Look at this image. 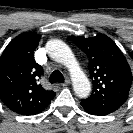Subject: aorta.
<instances>
[{
  "label": "aorta",
  "instance_id": "obj_1",
  "mask_svg": "<svg viewBox=\"0 0 133 133\" xmlns=\"http://www.w3.org/2000/svg\"><path fill=\"white\" fill-rule=\"evenodd\" d=\"M46 47L52 59L64 64L69 69L75 94L80 98L88 97L91 91L90 82L69 46L61 40L54 39L50 40Z\"/></svg>",
  "mask_w": 133,
  "mask_h": 133
}]
</instances>
